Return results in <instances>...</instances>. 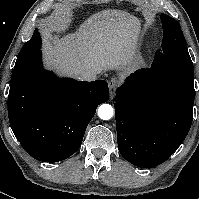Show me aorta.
Returning <instances> with one entry per match:
<instances>
[{
  "instance_id": "762f6f07",
  "label": "aorta",
  "mask_w": 199,
  "mask_h": 199,
  "mask_svg": "<svg viewBox=\"0 0 199 199\" xmlns=\"http://www.w3.org/2000/svg\"><path fill=\"white\" fill-rule=\"evenodd\" d=\"M113 108L109 104H102L98 108V116L102 120H109L113 117Z\"/></svg>"
}]
</instances>
